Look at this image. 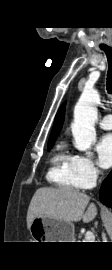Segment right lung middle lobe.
<instances>
[{
    "mask_svg": "<svg viewBox=\"0 0 112 270\" xmlns=\"http://www.w3.org/2000/svg\"><path fill=\"white\" fill-rule=\"evenodd\" d=\"M53 144H54V142H48V149H51Z\"/></svg>",
    "mask_w": 112,
    "mask_h": 270,
    "instance_id": "1",
    "label": "right lung middle lobe"
}]
</instances>
